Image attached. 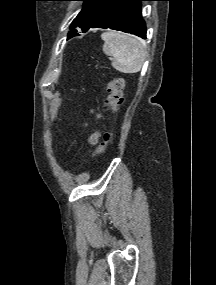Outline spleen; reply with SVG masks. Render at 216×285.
I'll return each instance as SVG.
<instances>
[{
  "instance_id": "3e777b00",
  "label": "spleen",
  "mask_w": 216,
  "mask_h": 285,
  "mask_svg": "<svg viewBox=\"0 0 216 285\" xmlns=\"http://www.w3.org/2000/svg\"><path fill=\"white\" fill-rule=\"evenodd\" d=\"M103 52L112 57V67L125 74L141 70L146 57L144 43L129 34L109 31L102 33Z\"/></svg>"
}]
</instances>
